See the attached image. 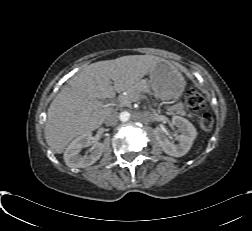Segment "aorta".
<instances>
[{
    "instance_id": "1",
    "label": "aorta",
    "mask_w": 252,
    "mask_h": 231,
    "mask_svg": "<svg viewBox=\"0 0 252 231\" xmlns=\"http://www.w3.org/2000/svg\"><path fill=\"white\" fill-rule=\"evenodd\" d=\"M119 118L122 122H127L130 119V114L127 111H123L120 113Z\"/></svg>"
}]
</instances>
